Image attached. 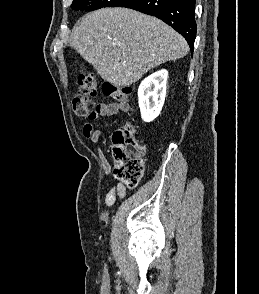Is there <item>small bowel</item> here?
<instances>
[{
    "instance_id": "c3829d8e",
    "label": "small bowel",
    "mask_w": 259,
    "mask_h": 294,
    "mask_svg": "<svg viewBox=\"0 0 259 294\" xmlns=\"http://www.w3.org/2000/svg\"><path fill=\"white\" fill-rule=\"evenodd\" d=\"M127 109V104L122 102L99 103L95 108L93 116L89 119L96 120L99 117L113 116L124 113L127 111ZM83 135L93 143H99L102 137V131L100 129H94L93 125L90 122H87L83 125ZM99 157L103 171L105 175H108L110 173V165L101 150L99 151ZM125 195L126 188L121 182H119L112 186L105 195V205L110 207L115 203L117 198L122 199L125 197Z\"/></svg>"
}]
</instances>
